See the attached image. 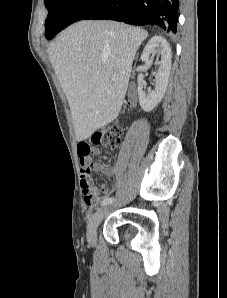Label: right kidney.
I'll list each match as a JSON object with an SVG mask.
<instances>
[{"label": "right kidney", "mask_w": 227, "mask_h": 298, "mask_svg": "<svg viewBox=\"0 0 227 298\" xmlns=\"http://www.w3.org/2000/svg\"><path fill=\"white\" fill-rule=\"evenodd\" d=\"M151 54L160 58L157 62L159 68L155 73V89L148 93L143 91V75H138L139 103L146 112L152 111L164 97L171 70V47L165 38L161 36L152 37L143 50L141 60L148 62Z\"/></svg>", "instance_id": "1"}]
</instances>
